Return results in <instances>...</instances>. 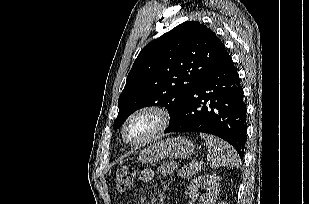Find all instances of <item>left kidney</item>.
<instances>
[{"instance_id":"1","label":"left kidney","mask_w":309,"mask_h":204,"mask_svg":"<svg viewBox=\"0 0 309 204\" xmlns=\"http://www.w3.org/2000/svg\"><path fill=\"white\" fill-rule=\"evenodd\" d=\"M221 178L218 175H203L193 179L185 192L186 198L198 195L199 188L206 187L207 192L201 195L202 204H215L220 188Z\"/></svg>"}]
</instances>
